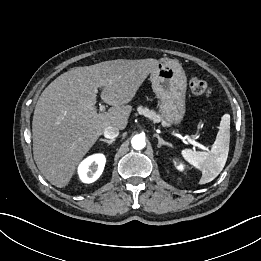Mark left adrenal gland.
Returning <instances> with one entry per match:
<instances>
[{"mask_svg":"<svg viewBox=\"0 0 261 261\" xmlns=\"http://www.w3.org/2000/svg\"><path fill=\"white\" fill-rule=\"evenodd\" d=\"M154 136L158 139V147L160 148L162 145H166L168 147H172V144L164 141L158 134H154Z\"/></svg>","mask_w":261,"mask_h":261,"instance_id":"1","label":"left adrenal gland"}]
</instances>
